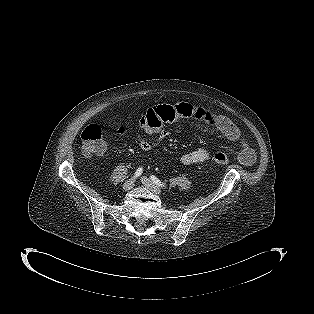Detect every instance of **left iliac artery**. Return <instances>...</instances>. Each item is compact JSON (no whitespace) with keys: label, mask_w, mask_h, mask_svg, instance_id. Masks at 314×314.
Returning a JSON list of instances; mask_svg holds the SVG:
<instances>
[{"label":"left iliac artery","mask_w":314,"mask_h":314,"mask_svg":"<svg viewBox=\"0 0 314 314\" xmlns=\"http://www.w3.org/2000/svg\"><path fill=\"white\" fill-rule=\"evenodd\" d=\"M151 180L158 186L166 187L164 183H162L156 176L151 175Z\"/></svg>","instance_id":"44dca946"}]
</instances>
